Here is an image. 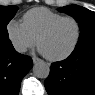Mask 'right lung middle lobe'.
<instances>
[{
    "label": "right lung middle lobe",
    "mask_w": 95,
    "mask_h": 95,
    "mask_svg": "<svg viewBox=\"0 0 95 95\" xmlns=\"http://www.w3.org/2000/svg\"><path fill=\"white\" fill-rule=\"evenodd\" d=\"M18 10L17 6H0V41H10L6 29L9 21L14 17Z\"/></svg>",
    "instance_id": "dd1d6c3e"
}]
</instances>
